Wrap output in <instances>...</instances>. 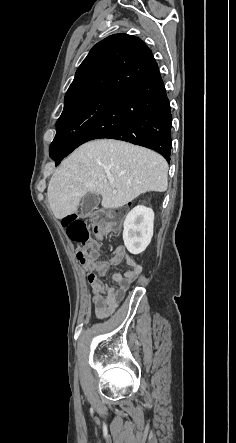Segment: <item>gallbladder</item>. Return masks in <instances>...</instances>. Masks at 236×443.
Listing matches in <instances>:
<instances>
[{
    "label": "gallbladder",
    "mask_w": 236,
    "mask_h": 443,
    "mask_svg": "<svg viewBox=\"0 0 236 443\" xmlns=\"http://www.w3.org/2000/svg\"><path fill=\"white\" fill-rule=\"evenodd\" d=\"M100 203V196L97 193H87L81 202V216H89Z\"/></svg>",
    "instance_id": "1"
}]
</instances>
